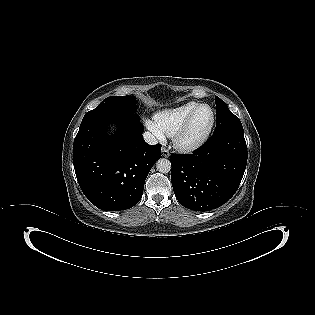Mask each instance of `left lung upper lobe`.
Segmentation results:
<instances>
[{"mask_svg": "<svg viewBox=\"0 0 315 315\" xmlns=\"http://www.w3.org/2000/svg\"><path fill=\"white\" fill-rule=\"evenodd\" d=\"M215 103L217 107L216 128L212 136L224 132L244 133L240 120L229 110L226 103L217 96L215 97Z\"/></svg>", "mask_w": 315, "mask_h": 315, "instance_id": "5c2ea615", "label": "left lung upper lobe"}]
</instances>
